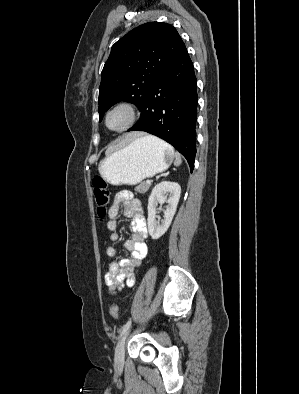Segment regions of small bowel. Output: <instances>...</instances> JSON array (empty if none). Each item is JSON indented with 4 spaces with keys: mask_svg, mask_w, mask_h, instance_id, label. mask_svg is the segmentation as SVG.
Segmentation results:
<instances>
[{
    "mask_svg": "<svg viewBox=\"0 0 299 394\" xmlns=\"http://www.w3.org/2000/svg\"><path fill=\"white\" fill-rule=\"evenodd\" d=\"M121 208L123 215L131 219L132 234L124 243V247L129 251V256L119 261H112L105 275V283L112 293L122 289L125 285L132 286L134 284V271L147 254V227L142 203L130 191L125 190L117 193L109 209L107 223V229L110 231L109 239L115 242L120 238L118 216ZM106 254L112 258L116 257L118 255L117 247L108 246Z\"/></svg>",
    "mask_w": 299,
    "mask_h": 394,
    "instance_id": "1",
    "label": "small bowel"
}]
</instances>
